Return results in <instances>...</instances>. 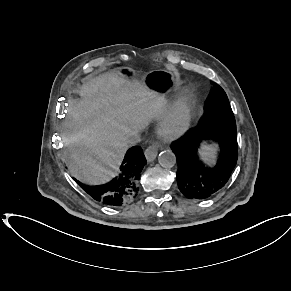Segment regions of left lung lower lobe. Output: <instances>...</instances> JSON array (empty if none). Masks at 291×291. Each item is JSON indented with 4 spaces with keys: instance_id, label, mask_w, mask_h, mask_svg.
Returning <instances> with one entry per match:
<instances>
[{
    "instance_id": "left-lung-lower-lobe-1",
    "label": "left lung lower lobe",
    "mask_w": 291,
    "mask_h": 291,
    "mask_svg": "<svg viewBox=\"0 0 291 291\" xmlns=\"http://www.w3.org/2000/svg\"><path fill=\"white\" fill-rule=\"evenodd\" d=\"M216 141L218 157L215 166L205 164L199 155L203 140ZM171 148L177 159V184L189 199H207L218 193L229 180L237 163L236 126L205 122L190 129Z\"/></svg>"
}]
</instances>
